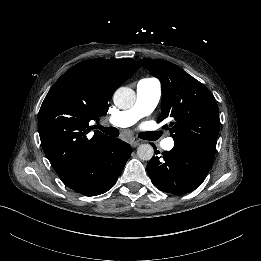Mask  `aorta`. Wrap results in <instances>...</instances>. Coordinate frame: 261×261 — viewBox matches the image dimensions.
I'll return each instance as SVG.
<instances>
[{
  "mask_svg": "<svg viewBox=\"0 0 261 261\" xmlns=\"http://www.w3.org/2000/svg\"><path fill=\"white\" fill-rule=\"evenodd\" d=\"M136 101V95L133 89L129 87L118 88L113 96V102L119 109H129ZM154 155V149L150 144H142L137 148V156L144 161L150 160Z\"/></svg>",
  "mask_w": 261,
  "mask_h": 261,
  "instance_id": "1",
  "label": "aorta"
}]
</instances>
